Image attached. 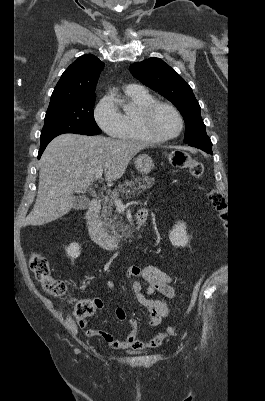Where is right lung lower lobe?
<instances>
[{
  "instance_id": "1",
  "label": "right lung lower lobe",
  "mask_w": 265,
  "mask_h": 401,
  "mask_svg": "<svg viewBox=\"0 0 265 401\" xmlns=\"http://www.w3.org/2000/svg\"><path fill=\"white\" fill-rule=\"evenodd\" d=\"M51 140H52V139H51ZM51 140H48V141H46V142H44V143H41V145H40V150H39V154H38V159H40V156L42 155L43 151L45 150L46 146L48 145V143H49Z\"/></svg>"
}]
</instances>
